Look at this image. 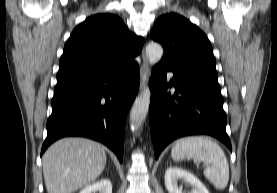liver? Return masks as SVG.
Returning <instances> with one entry per match:
<instances>
[{
    "mask_svg": "<svg viewBox=\"0 0 277 193\" xmlns=\"http://www.w3.org/2000/svg\"><path fill=\"white\" fill-rule=\"evenodd\" d=\"M105 147L86 138H64L43 155V175L48 193H72L89 186L106 165Z\"/></svg>",
    "mask_w": 277,
    "mask_h": 193,
    "instance_id": "liver-1",
    "label": "liver"
}]
</instances>
